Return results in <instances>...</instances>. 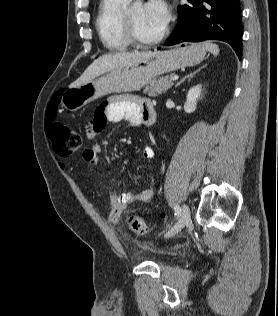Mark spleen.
Here are the masks:
<instances>
[{"label":"spleen","mask_w":278,"mask_h":316,"mask_svg":"<svg viewBox=\"0 0 278 316\" xmlns=\"http://www.w3.org/2000/svg\"><path fill=\"white\" fill-rule=\"evenodd\" d=\"M204 47L206 50L211 52L214 56H217L219 53V47L216 44H213L211 42H205Z\"/></svg>","instance_id":"spleen-1"}]
</instances>
